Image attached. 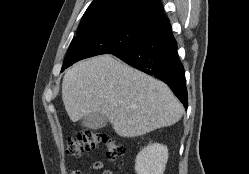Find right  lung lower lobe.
I'll return each instance as SVG.
<instances>
[{
	"instance_id": "right-lung-lower-lobe-1",
	"label": "right lung lower lobe",
	"mask_w": 249,
	"mask_h": 174,
	"mask_svg": "<svg viewBox=\"0 0 249 174\" xmlns=\"http://www.w3.org/2000/svg\"><path fill=\"white\" fill-rule=\"evenodd\" d=\"M112 55L165 82L187 109L184 67L168 18L149 25L139 42Z\"/></svg>"
}]
</instances>
